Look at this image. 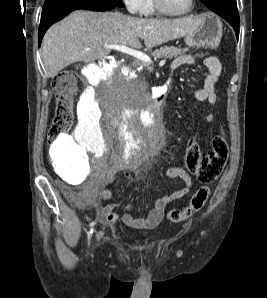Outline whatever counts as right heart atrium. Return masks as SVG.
<instances>
[{
    "mask_svg": "<svg viewBox=\"0 0 267 298\" xmlns=\"http://www.w3.org/2000/svg\"><path fill=\"white\" fill-rule=\"evenodd\" d=\"M125 8L131 14H140L143 9L144 0H122Z\"/></svg>",
    "mask_w": 267,
    "mask_h": 298,
    "instance_id": "d8ad5b80",
    "label": "right heart atrium"
}]
</instances>
